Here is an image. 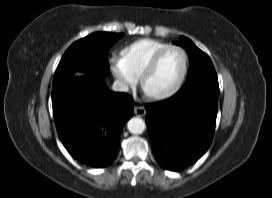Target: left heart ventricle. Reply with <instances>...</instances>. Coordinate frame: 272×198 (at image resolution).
<instances>
[{"instance_id":"obj_1","label":"left heart ventricle","mask_w":272,"mask_h":198,"mask_svg":"<svg viewBox=\"0 0 272 198\" xmlns=\"http://www.w3.org/2000/svg\"><path fill=\"white\" fill-rule=\"evenodd\" d=\"M183 55L179 50L167 51L156 69L147 77L143 90L146 94H160L170 90L183 71Z\"/></svg>"}]
</instances>
